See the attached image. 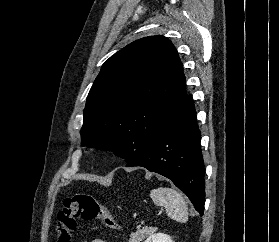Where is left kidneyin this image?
Segmentation results:
<instances>
[{
    "mask_svg": "<svg viewBox=\"0 0 279 242\" xmlns=\"http://www.w3.org/2000/svg\"><path fill=\"white\" fill-rule=\"evenodd\" d=\"M144 242H174V241L167 234L152 233Z\"/></svg>",
    "mask_w": 279,
    "mask_h": 242,
    "instance_id": "5707ae66",
    "label": "left kidney"
}]
</instances>
